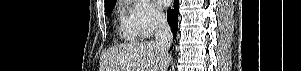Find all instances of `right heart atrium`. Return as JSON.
Returning <instances> with one entry per match:
<instances>
[{"mask_svg": "<svg viewBox=\"0 0 301 71\" xmlns=\"http://www.w3.org/2000/svg\"><path fill=\"white\" fill-rule=\"evenodd\" d=\"M137 36L149 38L164 24V14L150 0H134L128 12Z\"/></svg>", "mask_w": 301, "mask_h": 71, "instance_id": "obj_1", "label": "right heart atrium"}]
</instances>
